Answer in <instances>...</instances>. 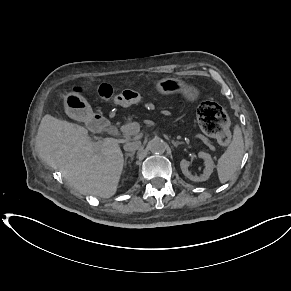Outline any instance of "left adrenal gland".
Listing matches in <instances>:
<instances>
[{"instance_id":"a2214340","label":"left adrenal gland","mask_w":291,"mask_h":291,"mask_svg":"<svg viewBox=\"0 0 291 291\" xmlns=\"http://www.w3.org/2000/svg\"><path fill=\"white\" fill-rule=\"evenodd\" d=\"M172 144L177 147L178 145L182 144V142L172 140Z\"/></svg>"}]
</instances>
